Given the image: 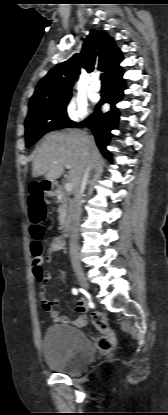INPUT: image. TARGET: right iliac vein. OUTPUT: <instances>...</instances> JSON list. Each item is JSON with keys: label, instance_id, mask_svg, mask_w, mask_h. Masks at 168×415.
I'll use <instances>...</instances> for the list:
<instances>
[{"label": "right iliac vein", "instance_id": "obj_1", "mask_svg": "<svg viewBox=\"0 0 168 415\" xmlns=\"http://www.w3.org/2000/svg\"><path fill=\"white\" fill-rule=\"evenodd\" d=\"M76 277L78 279L79 285L86 291L89 290L90 286L87 281V278L85 277L84 273L81 270L76 271Z\"/></svg>", "mask_w": 168, "mask_h": 415}]
</instances>
